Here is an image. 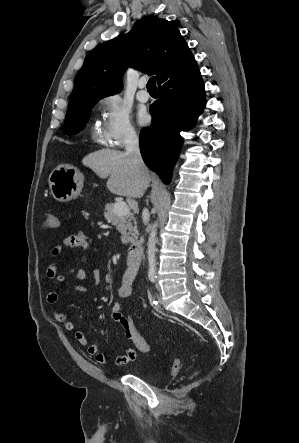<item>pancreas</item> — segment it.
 <instances>
[{"mask_svg":"<svg viewBox=\"0 0 299 443\" xmlns=\"http://www.w3.org/2000/svg\"><path fill=\"white\" fill-rule=\"evenodd\" d=\"M114 203L105 206V219L116 226V229L121 233L122 244L133 242L138 235L137 223L132 213H127L124 216H117L114 213Z\"/></svg>","mask_w":299,"mask_h":443,"instance_id":"obj_1","label":"pancreas"}]
</instances>
